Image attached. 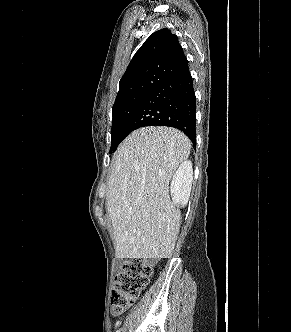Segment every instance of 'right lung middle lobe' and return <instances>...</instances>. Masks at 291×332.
<instances>
[{
	"label": "right lung middle lobe",
	"instance_id": "right-lung-middle-lobe-1",
	"mask_svg": "<svg viewBox=\"0 0 291 332\" xmlns=\"http://www.w3.org/2000/svg\"><path fill=\"white\" fill-rule=\"evenodd\" d=\"M156 86L115 100L112 107L113 120L110 153L115 151L119 143L126 137L125 126L128 120L133 116L138 106Z\"/></svg>",
	"mask_w": 291,
	"mask_h": 332
}]
</instances>
